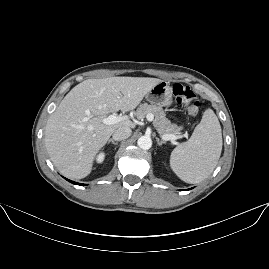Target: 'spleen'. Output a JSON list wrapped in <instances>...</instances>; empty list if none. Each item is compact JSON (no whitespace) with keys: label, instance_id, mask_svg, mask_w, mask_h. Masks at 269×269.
<instances>
[{"label":"spleen","instance_id":"3e777b00","mask_svg":"<svg viewBox=\"0 0 269 269\" xmlns=\"http://www.w3.org/2000/svg\"><path fill=\"white\" fill-rule=\"evenodd\" d=\"M221 151V126L214 111L207 109L191 138L172 151L170 165L181 180L196 184L213 172Z\"/></svg>","mask_w":269,"mask_h":269}]
</instances>
